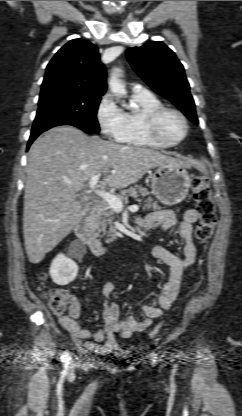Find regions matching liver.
Instances as JSON below:
<instances>
[{
    "instance_id": "6515ba94",
    "label": "liver",
    "mask_w": 242,
    "mask_h": 416,
    "mask_svg": "<svg viewBox=\"0 0 242 416\" xmlns=\"http://www.w3.org/2000/svg\"><path fill=\"white\" fill-rule=\"evenodd\" d=\"M185 164L161 152L89 137L69 125L48 130L29 150L23 233L29 261L41 262L74 228L82 214L78 194L96 174L122 189L162 164Z\"/></svg>"
}]
</instances>
